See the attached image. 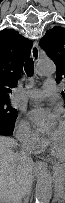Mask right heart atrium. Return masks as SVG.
Here are the masks:
<instances>
[{
  "mask_svg": "<svg viewBox=\"0 0 65 203\" xmlns=\"http://www.w3.org/2000/svg\"><path fill=\"white\" fill-rule=\"evenodd\" d=\"M16 137L19 140L21 146L29 151L36 150L44 145V141L32 129L26 120H22L19 123L16 131Z\"/></svg>",
  "mask_w": 65,
  "mask_h": 203,
  "instance_id": "obj_1",
  "label": "right heart atrium"
}]
</instances>
